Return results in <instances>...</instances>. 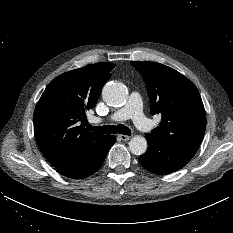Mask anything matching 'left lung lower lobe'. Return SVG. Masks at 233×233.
Returning a JSON list of instances; mask_svg holds the SVG:
<instances>
[{
  "label": "left lung lower lobe",
  "mask_w": 233,
  "mask_h": 233,
  "mask_svg": "<svg viewBox=\"0 0 233 233\" xmlns=\"http://www.w3.org/2000/svg\"><path fill=\"white\" fill-rule=\"evenodd\" d=\"M148 149L139 157V162L148 171L165 175L185 166L195 155L197 148L165 144L146 135Z\"/></svg>",
  "instance_id": "1"
}]
</instances>
